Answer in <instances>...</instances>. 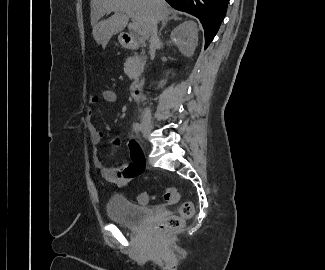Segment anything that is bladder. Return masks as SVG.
I'll return each mask as SVG.
<instances>
[{"label":"bladder","mask_w":325,"mask_h":270,"mask_svg":"<svg viewBox=\"0 0 325 270\" xmlns=\"http://www.w3.org/2000/svg\"><path fill=\"white\" fill-rule=\"evenodd\" d=\"M107 214L114 223L137 228L151 215V210L135 204L122 194H113L107 202Z\"/></svg>","instance_id":"obj_1"}]
</instances>
